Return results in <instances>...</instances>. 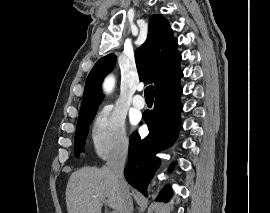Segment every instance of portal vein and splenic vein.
Here are the masks:
<instances>
[{"mask_svg":"<svg viewBox=\"0 0 270 213\" xmlns=\"http://www.w3.org/2000/svg\"><path fill=\"white\" fill-rule=\"evenodd\" d=\"M101 201H102V203H104V204H108V202H107L105 199H102ZM111 213H116V212H115V211H112Z\"/></svg>","mask_w":270,"mask_h":213,"instance_id":"18ae733b","label":"portal vein and splenic vein"}]
</instances>
